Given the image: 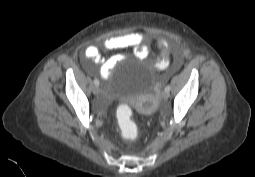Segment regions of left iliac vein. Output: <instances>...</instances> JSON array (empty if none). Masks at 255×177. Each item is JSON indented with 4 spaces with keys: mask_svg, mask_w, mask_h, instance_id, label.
I'll list each match as a JSON object with an SVG mask.
<instances>
[{
    "mask_svg": "<svg viewBox=\"0 0 255 177\" xmlns=\"http://www.w3.org/2000/svg\"><path fill=\"white\" fill-rule=\"evenodd\" d=\"M169 96H170L169 91L164 90V91L162 92V97H163L164 99H168Z\"/></svg>",
    "mask_w": 255,
    "mask_h": 177,
    "instance_id": "1",
    "label": "left iliac vein"
}]
</instances>
